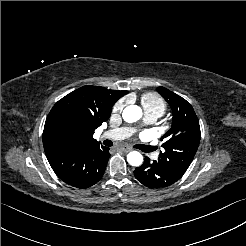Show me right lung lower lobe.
<instances>
[{"instance_id":"98d812e1","label":"right lung lower lobe","mask_w":246,"mask_h":246,"mask_svg":"<svg viewBox=\"0 0 246 246\" xmlns=\"http://www.w3.org/2000/svg\"><path fill=\"white\" fill-rule=\"evenodd\" d=\"M45 153L56 175L77 188H88L97 183L110 157L109 148L100 144L56 147Z\"/></svg>"}]
</instances>
